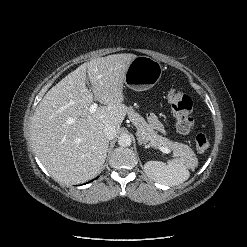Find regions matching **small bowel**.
I'll return each instance as SVG.
<instances>
[{
	"mask_svg": "<svg viewBox=\"0 0 247 247\" xmlns=\"http://www.w3.org/2000/svg\"><path fill=\"white\" fill-rule=\"evenodd\" d=\"M149 122H150V124H151L154 128H156V129H158V130H160V131H163V126H162L161 122L159 121V119L157 118L156 115L151 114V115L149 116Z\"/></svg>",
	"mask_w": 247,
	"mask_h": 247,
	"instance_id": "c3829d8e",
	"label": "small bowel"
}]
</instances>
